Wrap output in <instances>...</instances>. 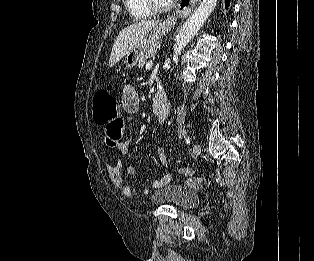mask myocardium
<instances>
[{"label":"myocardium","mask_w":314,"mask_h":261,"mask_svg":"<svg viewBox=\"0 0 314 261\" xmlns=\"http://www.w3.org/2000/svg\"><path fill=\"white\" fill-rule=\"evenodd\" d=\"M148 7L155 13H164L172 9L174 0L166 4H159L156 0H145Z\"/></svg>","instance_id":"myocardium-1"}]
</instances>
